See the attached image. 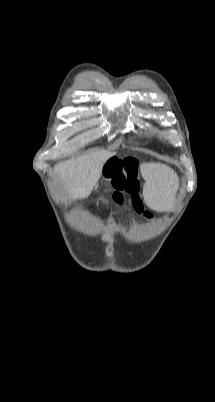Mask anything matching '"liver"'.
Listing matches in <instances>:
<instances>
[{
  "instance_id": "6515ba94",
  "label": "liver",
  "mask_w": 215,
  "mask_h": 402,
  "mask_svg": "<svg viewBox=\"0 0 215 402\" xmlns=\"http://www.w3.org/2000/svg\"><path fill=\"white\" fill-rule=\"evenodd\" d=\"M114 155L115 152L102 150L73 158L54 166L53 173L70 198L83 199L90 195L101 178L104 164Z\"/></svg>"
}]
</instances>
